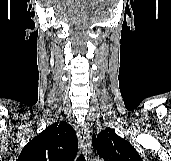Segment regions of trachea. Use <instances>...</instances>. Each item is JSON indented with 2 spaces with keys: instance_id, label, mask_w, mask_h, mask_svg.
Here are the masks:
<instances>
[{
  "instance_id": "obj_1",
  "label": "trachea",
  "mask_w": 171,
  "mask_h": 161,
  "mask_svg": "<svg viewBox=\"0 0 171 161\" xmlns=\"http://www.w3.org/2000/svg\"><path fill=\"white\" fill-rule=\"evenodd\" d=\"M77 161H85V157L83 154L80 155V157L77 159Z\"/></svg>"
}]
</instances>
